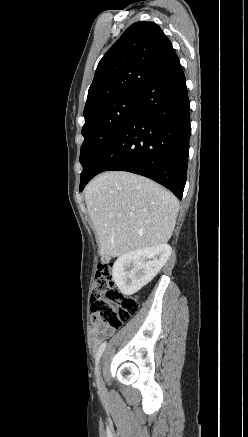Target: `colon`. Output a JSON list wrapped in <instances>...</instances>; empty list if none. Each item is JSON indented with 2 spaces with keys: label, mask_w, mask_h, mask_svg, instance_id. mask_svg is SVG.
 Returning <instances> with one entry per match:
<instances>
[{
  "label": "colon",
  "mask_w": 248,
  "mask_h": 437,
  "mask_svg": "<svg viewBox=\"0 0 248 437\" xmlns=\"http://www.w3.org/2000/svg\"><path fill=\"white\" fill-rule=\"evenodd\" d=\"M91 321L94 326L117 329L122 326L138 308L136 297L122 294L114 285L112 265L98 266L90 296Z\"/></svg>",
  "instance_id": "1"
}]
</instances>
